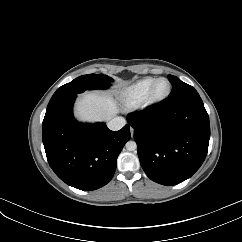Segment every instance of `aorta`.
Segmentation results:
<instances>
[{
    "mask_svg": "<svg viewBox=\"0 0 242 242\" xmlns=\"http://www.w3.org/2000/svg\"><path fill=\"white\" fill-rule=\"evenodd\" d=\"M136 148H137V144H136L135 141H128V142L126 143V149H127L128 151H134Z\"/></svg>",
    "mask_w": 242,
    "mask_h": 242,
    "instance_id": "aorta-1",
    "label": "aorta"
}]
</instances>
